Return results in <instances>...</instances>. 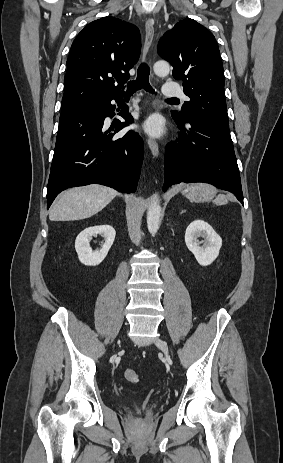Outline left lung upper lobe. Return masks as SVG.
Masks as SVG:
<instances>
[{
    "instance_id": "left-lung-upper-lobe-1",
    "label": "left lung upper lobe",
    "mask_w": 283,
    "mask_h": 463,
    "mask_svg": "<svg viewBox=\"0 0 283 463\" xmlns=\"http://www.w3.org/2000/svg\"><path fill=\"white\" fill-rule=\"evenodd\" d=\"M158 53L171 63L174 78L183 81V91L190 98L182 113L173 114L181 121L207 120L229 128L223 64L213 34L186 18L163 35Z\"/></svg>"
}]
</instances>
